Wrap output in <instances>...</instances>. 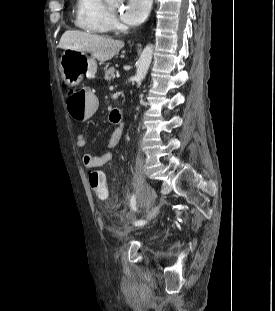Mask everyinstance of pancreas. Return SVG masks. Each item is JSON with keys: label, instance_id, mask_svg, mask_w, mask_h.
<instances>
[{"label": "pancreas", "instance_id": "1", "mask_svg": "<svg viewBox=\"0 0 275 311\" xmlns=\"http://www.w3.org/2000/svg\"><path fill=\"white\" fill-rule=\"evenodd\" d=\"M115 68L110 67L108 70L105 71V80L110 81L114 78Z\"/></svg>", "mask_w": 275, "mask_h": 311}]
</instances>
